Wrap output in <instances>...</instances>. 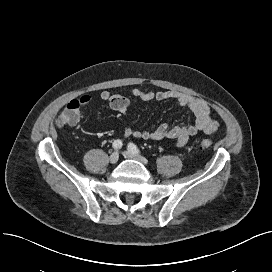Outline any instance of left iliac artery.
I'll return each instance as SVG.
<instances>
[{"label": "left iliac artery", "mask_w": 272, "mask_h": 272, "mask_svg": "<svg viewBox=\"0 0 272 272\" xmlns=\"http://www.w3.org/2000/svg\"><path fill=\"white\" fill-rule=\"evenodd\" d=\"M128 149L135 153V154H139L140 153V150L138 149V147L134 144V143H129L128 144Z\"/></svg>", "instance_id": "1"}]
</instances>
